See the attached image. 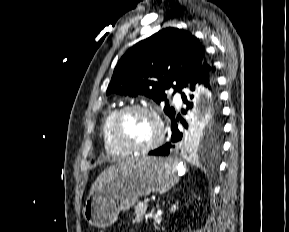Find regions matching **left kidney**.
<instances>
[{
  "instance_id": "1",
  "label": "left kidney",
  "mask_w": 289,
  "mask_h": 232,
  "mask_svg": "<svg viewBox=\"0 0 289 232\" xmlns=\"http://www.w3.org/2000/svg\"><path fill=\"white\" fill-rule=\"evenodd\" d=\"M176 204H177V205H176ZM176 204H174V205L171 207L170 212H175V211H176V209L178 208V202H177Z\"/></svg>"
}]
</instances>
